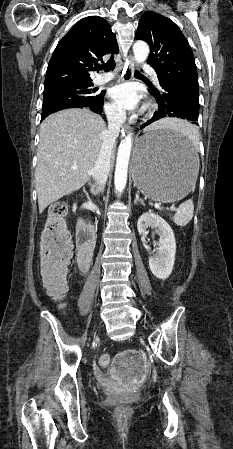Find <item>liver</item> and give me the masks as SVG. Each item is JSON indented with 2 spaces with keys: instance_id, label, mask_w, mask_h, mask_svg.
I'll return each instance as SVG.
<instances>
[{
  "instance_id": "6515ba94",
  "label": "liver",
  "mask_w": 233,
  "mask_h": 449,
  "mask_svg": "<svg viewBox=\"0 0 233 449\" xmlns=\"http://www.w3.org/2000/svg\"><path fill=\"white\" fill-rule=\"evenodd\" d=\"M180 123L177 119H161L145 132ZM106 132L101 116L88 109L62 110L42 122L35 169L40 213L91 178Z\"/></svg>"
}]
</instances>
